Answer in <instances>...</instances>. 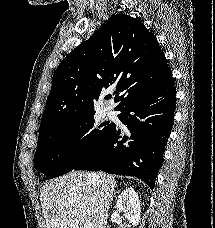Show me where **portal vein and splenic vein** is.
<instances>
[{
	"mask_svg": "<svg viewBox=\"0 0 215 228\" xmlns=\"http://www.w3.org/2000/svg\"><path fill=\"white\" fill-rule=\"evenodd\" d=\"M87 214H91V212H87Z\"/></svg>",
	"mask_w": 215,
	"mask_h": 228,
	"instance_id": "18ae733b",
	"label": "portal vein and splenic vein"
}]
</instances>
